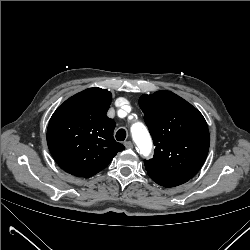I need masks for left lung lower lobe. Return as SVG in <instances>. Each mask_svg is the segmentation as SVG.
I'll return each mask as SVG.
<instances>
[{
    "instance_id": "obj_1",
    "label": "left lung lower lobe",
    "mask_w": 250,
    "mask_h": 250,
    "mask_svg": "<svg viewBox=\"0 0 250 250\" xmlns=\"http://www.w3.org/2000/svg\"><path fill=\"white\" fill-rule=\"evenodd\" d=\"M157 184L164 187H174L187 182V179H163L158 177H151Z\"/></svg>"
}]
</instances>
